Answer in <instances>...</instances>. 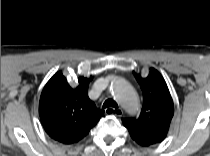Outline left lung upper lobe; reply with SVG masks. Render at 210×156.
Instances as JSON below:
<instances>
[{"label":"left lung upper lobe","mask_w":210,"mask_h":156,"mask_svg":"<svg viewBox=\"0 0 210 156\" xmlns=\"http://www.w3.org/2000/svg\"><path fill=\"white\" fill-rule=\"evenodd\" d=\"M134 76L143 92V107L138 118L122 119L133 140L147 147L163 141L174 114L173 101L165 80L155 69L146 78Z\"/></svg>","instance_id":"1"}]
</instances>
